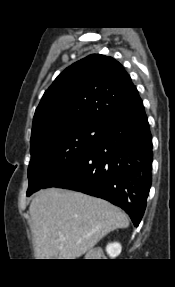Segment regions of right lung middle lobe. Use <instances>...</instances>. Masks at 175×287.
Wrapping results in <instances>:
<instances>
[{
	"label": "right lung middle lobe",
	"instance_id": "1",
	"mask_svg": "<svg viewBox=\"0 0 175 287\" xmlns=\"http://www.w3.org/2000/svg\"><path fill=\"white\" fill-rule=\"evenodd\" d=\"M106 133L97 123L67 126L31 142L27 196L86 156Z\"/></svg>",
	"mask_w": 175,
	"mask_h": 287
}]
</instances>
